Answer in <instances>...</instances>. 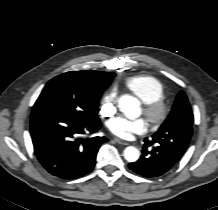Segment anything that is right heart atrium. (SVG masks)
<instances>
[{
  "label": "right heart atrium",
  "mask_w": 218,
  "mask_h": 210,
  "mask_svg": "<svg viewBox=\"0 0 218 210\" xmlns=\"http://www.w3.org/2000/svg\"><path fill=\"white\" fill-rule=\"evenodd\" d=\"M117 96L114 91L107 93L102 100L101 112L106 116H111L116 109Z\"/></svg>",
  "instance_id": "d8ad5b80"
}]
</instances>
